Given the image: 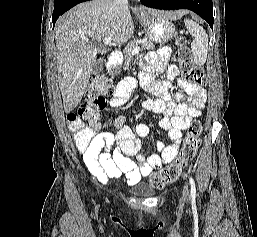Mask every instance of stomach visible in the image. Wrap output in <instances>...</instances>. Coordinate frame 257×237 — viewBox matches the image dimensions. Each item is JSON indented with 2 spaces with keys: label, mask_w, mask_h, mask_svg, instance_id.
Masks as SVG:
<instances>
[{
  "label": "stomach",
  "mask_w": 257,
  "mask_h": 237,
  "mask_svg": "<svg viewBox=\"0 0 257 237\" xmlns=\"http://www.w3.org/2000/svg\"><path fill=\"white\" fill-rule=\"evenodd\" d=\"M138 19L148 38L156 43H166L175 35L173 23L160 13L141 12Z\"/></svg>",
  "instance_id": "stomach-1"
}]
</instances>
